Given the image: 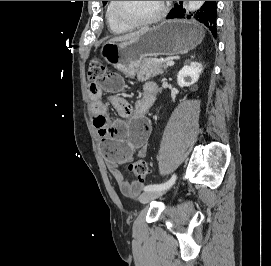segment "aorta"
I'll return each mask as SVG.
<instances>
[{"label": "aorta", "mask_w": 271, "mask_h": 266, "mask_svg": "<svg viewBox=\"0 0 271 266\" xmlns=\"http://www.w3.org/2000/svg\"><path fill=\"white\" fill-rule=\"evenodd\" d=\"M205 1H188L187 11L194 12L201 8Z\"/></svg>", "instance_id": "aorta-1"}]
</instances>
